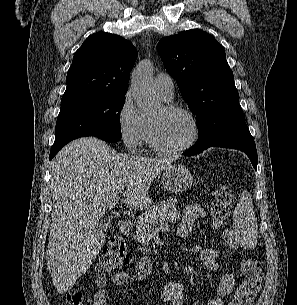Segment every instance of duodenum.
Instances as JSON below:
<instances>
[{
	"label": "duodenum",
	"instance_id": "obj_1",
	"mask_svg": "<svg viewBox=\"0 0 297 305\" xmlns=\"http://www.w3.org/2000/svg\"><path fill=\"white\" fill-rule=\"evenodd\" d=\"M118 227L122 233L129 234L133 229V222L129 218H123L119 220Z\"/></svg>",
	"mask_w": 297,
	"mask_h": 305
}]
</instances>
